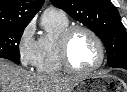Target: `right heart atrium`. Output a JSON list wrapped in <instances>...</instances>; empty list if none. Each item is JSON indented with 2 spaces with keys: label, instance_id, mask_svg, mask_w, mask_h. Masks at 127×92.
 I'll list each match as a JSON object with an SVG mask.
<instances>
[{
  "label": "right heart atrium",
  "instance_id": "d8ad5b80",
  "mask_svg": "<svg viewBox=\"0 0 127 92\" xmlns=\"http://www.w3.org/2000/svg\"><path fill=\"white\" fill-rule=\"evenodd\" d=\"M17 52L22 66H35L37 59V41L34 38V24H28L20 34L17 42Z\"/></svg>",
  "mask_w": 127,
  "mask_h": 92
}]
</instances>
